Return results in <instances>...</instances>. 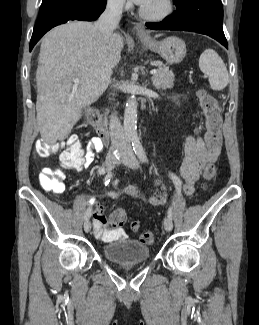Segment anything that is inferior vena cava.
<instances>
[{"label": "inferior vena cava", "instance_id": "1", "mask_svg": "<svg viewBox=\"0 0 259 325\" xmlns=\"http://www.w3.org/2000/svg\"><path fill=\"white\" fill-rule=\"evenodd\" d=\"M125 0H109L105 11L95 23V28L108 40L112 32L118 27L122 16ZM112 149L126 148L127 140L117 112L112 113L109 123Z\"/></svg>", "mask_w": 259, "mask_h": 325}]
</instances>
